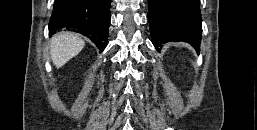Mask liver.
I'll return each instance as SVG.
<instances>
[{
	"mask_svg": "<svg viewBox=\"0 0 257 130\" xmlns=\"http://www.w3.org/2000/svg\"><path fill=\"white\" fill-rule=\"evenodd\" d=\"M85 42L75 33L60 32L51 39L50 53L53 64L60 68L78 55Z\"/></svg>",
	"mask_w": 257,
	"mask_h": 130,
	"instance_id": "6515ba94",
	"label": "liver"
}]
</instances>
